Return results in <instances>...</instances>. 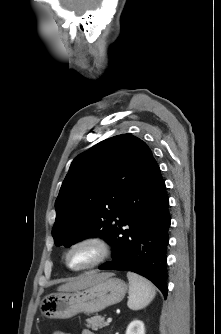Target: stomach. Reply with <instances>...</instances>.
Listing matches in <instances>:
<instances>
[{"label":"stomach","instance_id":"0dacf381","mask_svg":"<svg viewBox=\"0 0 221 334\" xmlns=\"http://www.w3.org/2000/svg\"><path fill=\"white\" fill-rule=\"evenodd\" d=\"M127 284L112 274L97 283L77 291L52 293L40 305L47 318L68 319L79 313H98L123 300Z\"/></svg>","mask_w":221,"mask_h":334}]
</instances>
